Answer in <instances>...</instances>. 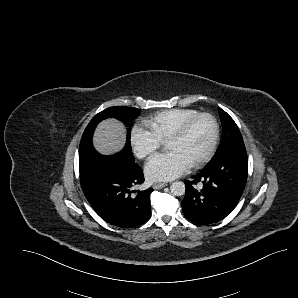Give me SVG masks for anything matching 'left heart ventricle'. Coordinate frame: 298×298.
I'll use <instances>...</instances> for the list:
<instances>
[{"instance_id": "b2bd125f", "label": "left heart ventricle", "mask_w": 298, "mask_h": 298, "mask_svg": "<svg viewBox=\"0 0 298 298\" xmlns=\"http://www.w3.org/2000/svg\"><path fill=\"white\" fill-rule=\"evenodd\" d=\"M210 138V124L205 118L198 120L181 136L172 140L167 149L174 151L190 165L206 148Z\"/></svg>"}]
</instances>
